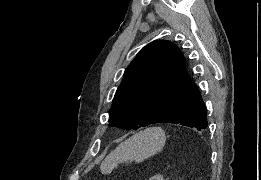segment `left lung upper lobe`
<instances>
[{
    "label": "left lung upper lobe",
    "mask_w": 261,
    "mask_h": 180,
    "mask_svg": "<svg viewBox=\"0 0 261 180\" xmlns=\"http://www.w3.org/2000/svg\"><path fill=\"white\" fill-rule=\"evenodd\" d=\"M188 80L184 56L176 45L166 40L149 43L126 68L109 123L134 130L150 125Z\"/></svg>",
    "instance_id": "left-lung-upper-lobe-1"
}]
</instances>
